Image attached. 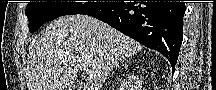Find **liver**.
<instances>
[{
  "instance_id": "1",
  "label": "liver",
  "mask_w": 216,
  "mask_h": 90,
  "mask_svg": "<svg viewBox=\"0 0 216 90\" xmlns=\"http://www.w3.org/2000/svg\"><path fill=\"white\" fill-rule=\"evenodd\" d=\"M143 46L90 16H63L35 36L27 54V90H101L113 68ZM87 68L86 84L75 86Z\"/></svg>"
}]
</instances>
